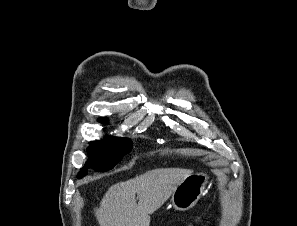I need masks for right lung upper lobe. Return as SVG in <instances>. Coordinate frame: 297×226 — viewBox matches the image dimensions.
Returning <instances> with one entry per match:
<instances>
[{
	"label": "right lung upper lobe",
	"mask_w": 297,
	"mask_h": 226,
	"mask_svg": "<svg viewBox=\"0 0 297 226\" xmlns=\"http://www.w3.org/2000/svg\"><path fill=\"white\" fill-rule=\"evenodd\" d=\"M99 121H100V122H105V121H106V119H99Z\"/></svg>",
	"instance_id": "obj_1"
}]
</instances>
